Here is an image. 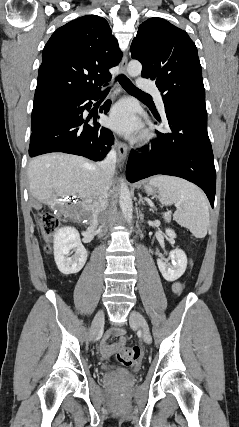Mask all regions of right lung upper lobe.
<instances>
[{
	"mask_svg": "<svg viewBox=\"0 0 239 427\" xmlns=\"http://www.w3.org/2000/svg\"><path fill=\"white\" fill-rule=\"evenodd\" d=\"M122 58L108 22L97 15L58 28L42 53L34 100L73 93H94L111 78Z\"/></svg>",
	"mask_w": 239,
	"mask_h": 427,
	"instance_id": "obj_1",
	"label": "right lung upper lobe"
}]
</instances>
